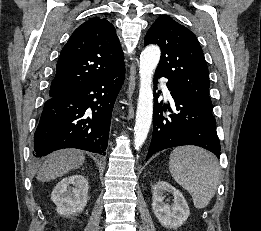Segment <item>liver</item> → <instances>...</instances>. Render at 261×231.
Masks as SVG:
<instances>
[{"mask_svg":"<svg viewBox=\"0 0 261 231\" xmlns=\"http://www.w3.org/2000/svg\"><path fill=\"white\" fill-rule=\"evenodd\" d=\"M85 156L83 152L75 149H67L53 152L47 156L39 169L37 179L47 182L67 174L69 171L83 165Z\"/></svg>","mask_w":261,"mask_h":231,"instance_id":"obj_1","label":"liver"}]
</instances>
